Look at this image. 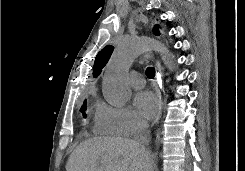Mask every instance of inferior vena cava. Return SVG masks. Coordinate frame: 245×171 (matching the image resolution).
I'll return each mask as SVG.
<instances>
[{"label":"inferior vena cava","instance_id":"602c4592","mask_svg":"<svg viewBox=\"0 0 245 171\" xmlns=\"http://www.w3.org/2000/svg\"><path fill=\"white\" fill-rule=\"evenodd\" d=\"M151 140L150 131L148 129V124L145 121L138 123V130L135 135V143L140 148L141 152L147 158L151 157L150 151L147 149Z\"/></svg>","mask_w":245,"mask_h":171}]
</instances>
